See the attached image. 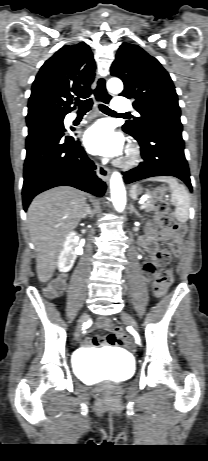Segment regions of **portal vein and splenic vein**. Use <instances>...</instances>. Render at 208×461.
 <instances>
[{"label": "portal vein and splenic vein", "instance_id": "18ae733b", "mask_svg": "<svg viewBox=\"0 0 208 461\" xmlns=\"http://www.w3.org/2000/svg\"><path fill=\"white\" fill-rule=\"evenodd\" d=\"M148 196H143L141 200L139 201V204L142 205V207L146 206L148 204Z\"/></svg>", "mask_w": 208, "mask_h": 461}]
</instances>
